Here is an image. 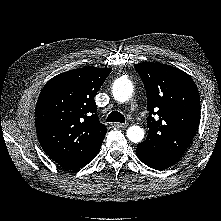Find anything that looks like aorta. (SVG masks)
Segmentation results:
<instances>
[{
    "instance_id": "aorta-1",
    "label": "aorta",
    "mask_w": 221,
    "mask_h": 221,
    "mask_svg": "<svg viewBox=\"0 0 221 221\" xmlns=\"http://www.w3.org/2000/svg\"><path fill=\"white\" fill-rule=\"evenodd\" d=\"M113 97L118 102H126L133 93V85L130 80L121 79L113 85ZM127 138L134 143H139L144 138V130L139 126H131L127 130Z\"/></svg>"
}]
</instances>
